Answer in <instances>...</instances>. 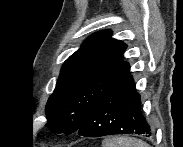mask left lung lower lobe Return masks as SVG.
<instances>
[{"label": "left lung lower lobe", "instance_id": "obj_1", "mask_svg": "<svg viewBox=\"0 0 183 147\" xmlns=\"http://www.w3.org/2000/svg\"><path fill=\"white\" fill-rule=\"evenodd\" d=\"M84 137L136 133L151 136L153 130L142 115L140 94L128 73L109 88L77 130Z\"/></svg>", "mask_w": 183, "mask_h": 147}]
</instances>
